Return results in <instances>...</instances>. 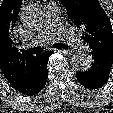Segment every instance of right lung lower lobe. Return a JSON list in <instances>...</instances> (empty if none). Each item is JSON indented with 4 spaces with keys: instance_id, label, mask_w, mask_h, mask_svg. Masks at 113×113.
Returning <instances> with one entry per match:
<instances>
[{
    "instance_id": "right-lung-lower-lobe-1",
    "label": "right lung lower lobe",
    "mask_w": 113,
    "mask_h": 113,
    "mask_svg": "<svg viewBox=\"0 0 113 113\" xmlns=\"http://www.w3.org/2000/svg\"><path fill=\"white\" fill-rule=\"evenodd\" d=\"M50 55V51H45L42 54H38L29 75L13 88L19 93L28 96H33L39 93L47 82V63Z\"/></svg>"
}]
</instances>
